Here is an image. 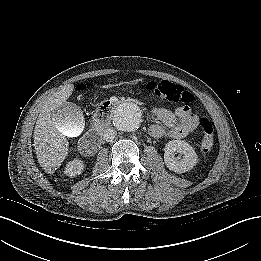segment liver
Here are the masks:
<instances>
[{"label": "liver", "mask_w": 261, "mask_h": 261, "mask_svg": "<svg viewBox=\"0 0 261 261\" xmlns=\"http://www.w3.org/2000/svg\"><path fill=\"white\" fill-rule=\"evenodd\" d=\"M74 90L73 84L61 86L42 103L34 128V147L38 163L48 174H53L68 155L69 142L60 117L56 114L66 103ZM84 117L80 107L75 105V120L72 134L78 135L83 127Z\"/></svg>", "instance_id": "liver-1"}]
</instances>
